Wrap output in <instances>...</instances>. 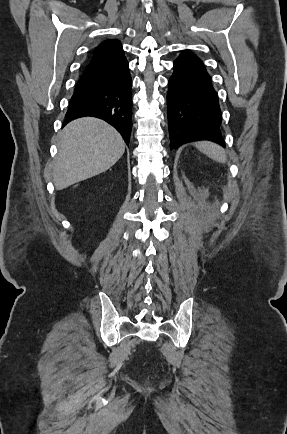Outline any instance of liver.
Masks as SVG:
<instances>
[{
    "label": "liver",
    "instance_id": "6515ba94",
    "mask_svg": "<svg viewBox=\"0 0 287 434\" xmlns=\"http://www.w3.org/2000/svg\"><path fill=\"white\" fill-rule=\"evenodd\" d=\"M58 148L53 182L57 190H62L107 171L123 155L125 142L106 122L84 117L63 129Z\"/></svg>",
    "mask_w": 287,
    "mask_h": 434
}]
</instances>
